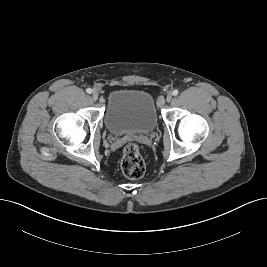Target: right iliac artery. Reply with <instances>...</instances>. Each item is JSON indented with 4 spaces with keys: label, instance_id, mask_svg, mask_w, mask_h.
Wrapping results in <instances>:
<instances>
[{
    "label": "right iliac artery",
    "instance_id": "1",
    "mask_svg": "<svg viewBox=\"0 0 267 267\" xmlns=\"http://www.w3.org/2000/svg\"><path fill=\"white\" fill-rule=\"evenodd\" d=\"M86 92H87L88 94H91V93H92V89H91V88H87V89H86Z\"/></svg>",
    "mask_w": 267,
    "mask_h": 267
}]
</instances>
